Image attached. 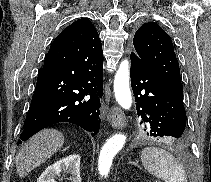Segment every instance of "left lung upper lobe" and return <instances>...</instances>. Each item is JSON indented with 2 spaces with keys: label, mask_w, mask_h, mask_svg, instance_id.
I'll list each match as a JSON object with an SVG mask.
<instances>
[{
  "label": "left lung upper lobe",
  "mask_w": 211,
  "mask_h": 182,
  "mask_svg": "<svg viewBox=\"0 0 211 182\" xmlns=\"http://www.w3.org/2000/svg\"><path fill=\"white\" fill-rule=\"evenodd\" d=\"M135 53L174 93L182 97L179 64L170 36L155 22L144 23L135 33Z\"/></svg>",
  "instance_id": "left-lung-upper-lobe-1"
}]
</instances>
